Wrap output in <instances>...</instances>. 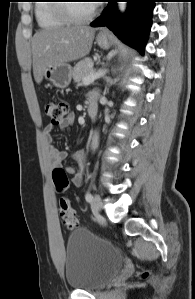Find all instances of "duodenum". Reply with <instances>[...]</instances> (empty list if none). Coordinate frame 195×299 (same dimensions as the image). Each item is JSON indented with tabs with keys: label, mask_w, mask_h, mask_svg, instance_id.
Returning a JSON list of instances; mask_svg holds the SVG:
<instances>
[{
	"label": "duodenum",
	"mask_w": 195,
	"mask_h": 299,
	"mask_svg": "<svg viewBox=\"0 0 195 299\" xmlns=\"http://www.w3.org/2000/svg\"><path fill=\"white\" fill-rule=\"evenodd\" d=\"M87 114L90 118H94L97 114V105L93 102H90L87 107Z\"/></svg>",
	"instance_id": "obj_1"
}]
</instances>
